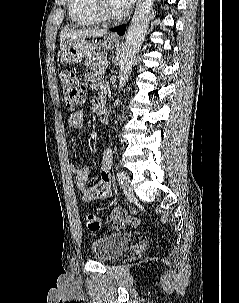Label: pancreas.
Listing matches in <instances>:
<instances>
[{"mask_svg": "<svg viewBox=\"0 0 239 303\" xmlns=\"http://www.w3.org/2000/svg\"><path fill=\"white\" fill-rule=\"evenodd\" d=\"M106 60L105 54L103 52H98L91 59L86 60L84 65L86 68L93 70L95 72L103 73L105 71V67L102 65V62Z\"/></svg>", "mask_w": 239, "mask_h": 303, "instance_id": "obj_1", "label": "pancreas"}]
</instances>
